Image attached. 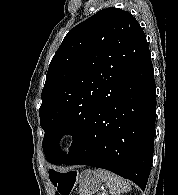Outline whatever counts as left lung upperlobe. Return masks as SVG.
<instances>
[{"label":"left lung upper lobe","mask_w":178,"mask_h":195,"mask_svg":"<svg viewBox=\"0 0 178 195\" xmlns=\"http://www.w3.org/2000/svg\"><path fill=\"white\" fill-rule=\"evenodd\" d=\"M149 55L139 23L115 7L68 32L51 60L41 95L42 147L50 163L58 164L66 154L59 146L62 136H73L71 149L99 105Z\"/></svg>","instance_id":"1"}]
</instances>
